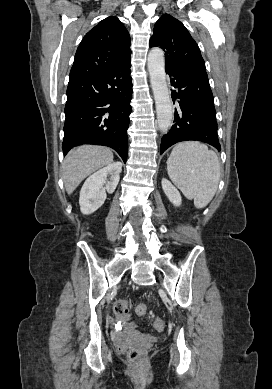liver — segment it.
Here are the masks:
<instances>
[{"instance_id": "liver-1", "label": "liver", "mask_w": 272, "mask_h": 389, "mask_svg": "<svg viewBox=\"0 0 272 389\" xmlns=\"http://www.w3.org/2000/svg\"><path fill=\"white\" fill-rule=\"evenodd\" d=\"M112 162L113 153L106 147L82 145L72 149L62 165L67 193H73L87 176Z\"/></svg>"}]
</instances>
